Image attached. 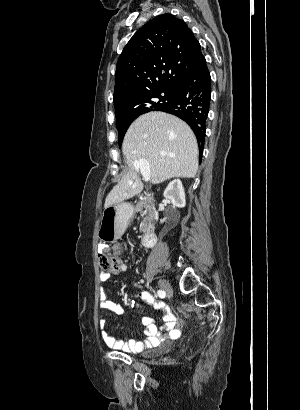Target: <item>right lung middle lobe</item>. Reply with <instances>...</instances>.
Here are the masks:
<instances>
[{
  "instance_id": "right-lung-middle-lobe-1",
  "label": "right lung middle lobe",
  "mask_w": 300,
  "mask_h": 410,
  "mask_svg": "<svg viewBox=\"0 0 300 410\" xmlns=\"http://www.w3.org/2000/svg\"><path fill=\"white\" fill-rule=\"evenodd\" d=\"M175 96V89L159 90L141 96L137 102L138 113L135 116L116 120L117 129L119 131V145H121L123 137L130 124L141 114L155 111L161 107L170 104Z\"/></svg>"
}]
</instances>
